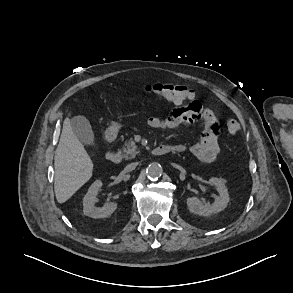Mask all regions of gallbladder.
<instances>
[{
    "label": "gallbladder",
    "instance_id": "bac80fb5",
    "mask_svg": "<svg viewBox=\"0 0 293 293\" xmlns=\"http://www.w3.org/2000/svg\"><path fill=\"white\" fill-rule=\"evenodd\" d=\"M75 136L85 145L96 147L94 133L89 121L84 116H75L70 120Z\"/></svg>",
    "mask_w": 293,
    "mask_h": 293
}]
</instances>
